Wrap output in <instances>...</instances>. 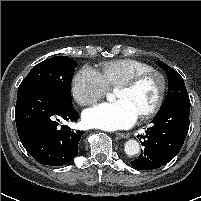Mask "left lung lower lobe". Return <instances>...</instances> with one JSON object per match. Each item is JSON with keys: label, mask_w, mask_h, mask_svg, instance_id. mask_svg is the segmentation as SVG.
Returning <instances> with one entry per match:
<instances>
[{"label": "left lung lower lobe", "mask_w": 201, "mask_h": 201, "mask_svg": "<svg viewBox=\"0 0 201 201\" xmlns=\"http://www.w3.org/2000/svg\"><path fill=\"white\" fill-rule=\"evenodd\" d=\"M189 114L190 100L163 106L151 121L153 126L146 130L145 136H140L144 139L141 142L144 149L131 165L138 170H152L172 160L188 133Z\"/></svg>", "instance_id": "0a47b994"}]
</instances>
